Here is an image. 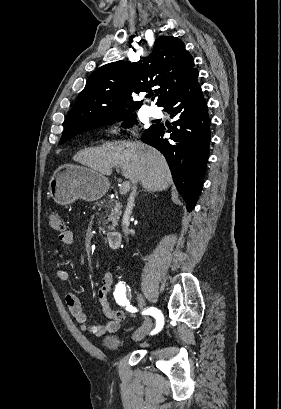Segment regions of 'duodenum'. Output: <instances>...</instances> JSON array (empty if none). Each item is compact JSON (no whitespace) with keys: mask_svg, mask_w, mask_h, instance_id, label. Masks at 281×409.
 Segmentation results:
<instances>
[{"mask_svg":"<svg viewBox=\"0 0 281 409\" xmlns=\"http://www.w3.org/2000/svg\"><path fill=\"white\" fill-rule=\"evenodd\" d=\"M108 243L111 248L118 249L121 247L122 244V235L118 231L110 232L107 235Z\"/></svg>","mask_w":281,"mask_h":409,"instance_id":"obj_1","label":"duodenum"}]
</instances>
